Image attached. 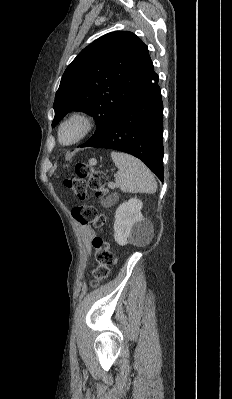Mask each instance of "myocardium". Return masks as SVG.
Returning <instances> with one entry per match:
<instances>
[{
	"instance_id": "1",
	"label": "myocardium",
	"mask_w": 232,
	"mask_h": 399,
	"mask_svg": "<svg viewBox=\"0 0 232 399\" xmlns=\"http://www.w3.org/2000/svg\"><path fill=\"white\" fill-rule=\"evenodd\" d=\"M73 121H80L83 125L82 131L80 134L70 142H64L62 140L61 134L63 128L73 122ZM94 128V117L92 113L84 109H77L71 112L59 125L58 128V138L60 142L64 145H73L84 139Z\"/></svg>"
}]
</instances>
